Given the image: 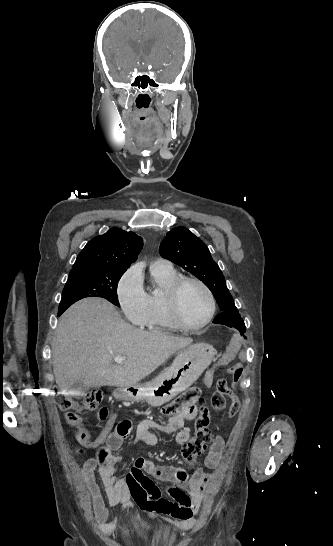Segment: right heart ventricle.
Here are the masks:
<instances>
[{"instance_id":"right-heart-ventricle-1","label":"right heart ventricle","mask_w":333,"mask_h":546,"mask_svg":"<svg viewBox=\"0 0 333 546\" xmlns=\"http://www.w3.org/2000/svg\"><path fill=\"white\" fill-rule=\"evenodd\" d=\"M151 280L156 290L146 292L148 313L142 325L150 331L170 332L177 330L169 320L165 307L164 296L174 281L179 278L177 272L171 269H151Z\"/></svg>"}]
</instances>
